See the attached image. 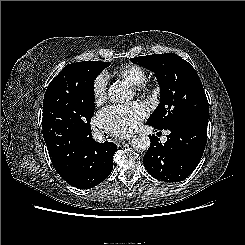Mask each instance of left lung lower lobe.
Listing matches in <instances>:
<instances>
[{
    "label": "left lung lower lobe",
    "mask_w": 245,
    "mask_h": 245,
    "mask_svg": "<svg viewBox=\"0 0 245 245\" xmlns=\"http://www.w3.org/2000/svg\"><path fill=\"white\" fill-rule=\"evenodd\" d=\"M207 122L208 118L193 117L175 127L167 128L170 134L164 144L159 142L157 136H150L151 145L143 159L148 173L165 182L186 179L203 155L207 140ZM148 125L162 130L153 124Z\"/></svg>",
    "instance_id": "left-lung-lower-lobe-1"
}]
</instances>
